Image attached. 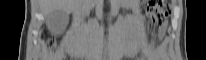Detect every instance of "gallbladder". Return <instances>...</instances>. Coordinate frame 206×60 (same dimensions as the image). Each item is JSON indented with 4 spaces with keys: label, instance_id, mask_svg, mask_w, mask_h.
<instances>
[{
    "label": "gallbladder",
    "instance_id": "bac80fb5",
    "mask_svg": "<svg viewBox=\"0 0 206 60\" xmlns=\"http://www.w3.org/2000/svg\"><path fill=\"white\" fill-rule=\"evenodd\" d=\"M69 15L62 10H55L47 15L46 20L51 27H63L68 22Z\"/></svg>",
    "mask_w": 206,
    "mask_h": 60
}]
</instances>
